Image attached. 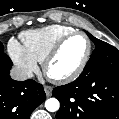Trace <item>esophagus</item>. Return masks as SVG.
Wrapping results in <instances>:
<instances>
[{
    "label": "esophagus",
    "instance_id": "34e87169",
    "mask_svg": "<svg viewBox=\"0 0 119 119\" xmlns=\"http://www.w3.org/2000/svg\"><path fill=\"white\" fill-rule=\"evenodd\" d=\"M44 91H45L47 97H50L52 95V87L51 86H48V85L44 86Z\"/></svg>",
    "mask_w": 119,
    "mask_h": 119
}]
</instances>
